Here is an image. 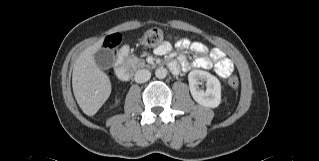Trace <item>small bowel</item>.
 I'll list each match as a JSON object with an SVG mask.
<instances>
[{
  "label": "small bowel",
  "instance_id": "c3829d8e",
  "mask_svg": "<svg viewBox=\"0 0 319 161\" xmlns=\"http://www.w3.org/2000/svg\"><path fill=\"white\" fill-rule=\"evenodd\" d=\"M177 47L181 50L190 49L195 54H208V56H200L190 62L184 55H182L180 57V63H176L177 70L173 72H178L180 68L183 70H188L192 67L202 69L214 68L216 74L224 79L228 78L234 72L233 62L225 56L222 50L218 48L209 50L205 44L201 42L191 43L187 38L178 39ZM170 50V43L165 41L155 49V52L158 55H167Z\"/></svg>",
  "mask_w": 319,
  "mask_h": 161
}]
</instances>
